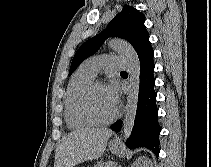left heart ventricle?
I'll return each instance as SVG.
<instances>
[{
	"instance_id": "1",
	"label": "left heart ventricle",
	"mask_w": 211,
	"mask_h": 167,
	"mask_svg": "<svg viewBox=\"0 0 211 167\" xmlns=\"http://www.w3.org/2000/svg\"><path fill=\"white\" fill-rule=\"evenodd\" d=\"M90 108L94 115L100 119H107L115 112V108L112 106L105 87L102 85L96 86L90 96Z\"/></svg>"
}]
</instances>
